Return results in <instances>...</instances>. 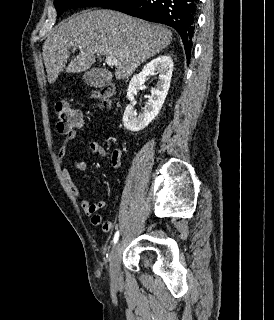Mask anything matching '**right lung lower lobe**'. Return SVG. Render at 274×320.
I'll use <instances>...</instances> for the list:
<instances>
[{
    "label": "right lung lower lobe",
    "instance_id": "98d812e1",
    "mask_svg": "<svg viewBox=\"0 0 274 320\" xmlns=\"http://www.w3.org/2000/svg\"><path fill=\"white\" fill-rule=\"evenodd\" d=\"M102 7L173 27L182 38L189 61L197 21L198 0H111Z\"/></svg>",
    "mask_w": 274,
    "mask_h": 320
}]
</instances>
